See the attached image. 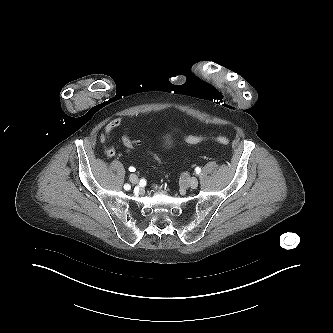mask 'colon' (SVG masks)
<instances>
[{
    "instance_id": "5ec220e1",
    "label": "colon",
    "mask_w": 333,
    "mask_h": 333,
    "mask_svg": "<svg viewBox=\"0 0 333 333\" xmlns=\"http://www.w3.org/2000/svg\"><path fill=\"white\" fill-rule=\"evenodd\" d=\"M182 137L185 142L189 144H198L208 139H213L222 145H228L229 140L224 136H216V137H206V136H196L189 134H182ZM122 143L127 149H135L137 147V142L132 140L128 134H124L122 136Z\"/></svg>"
}]
</instances>
